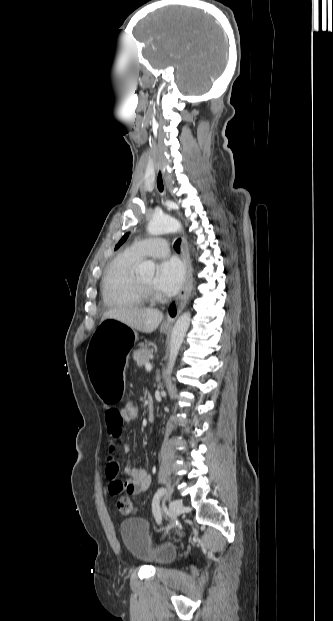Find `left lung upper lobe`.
<instances>
[{
	"instance_id": "obj_1",
	"label": "left lung upper lobe",
	"mask_w": 333,
	"mask_h": 621,
	"mask_svg": "<svg viewBox=\"0 0 333 621\" xmlns=\"http://www.w3.org/2000/svg\"><path fill=\"white\" fill-rule=\"evenodd\" d=\"M129 233H126L121 240L118 242V244L115 246V250L118 249L128 238Z\"/></svg>"
}]
</instances>
